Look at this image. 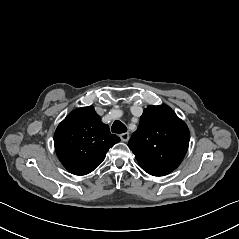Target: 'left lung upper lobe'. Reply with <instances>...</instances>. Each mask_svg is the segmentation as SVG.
Returning a JSON list of instances; mask_svg holds the SVG:
<instances>
[{
    "label": "left lung upper lobe",
    "mask_w": 239,
    "mask_h": 239,
    "mask_svg": "<svg viewBox=\"0 0 239 239\" xmlns=\"http://www.w3.org/2000/svg\"><path fill=\"white\" fill-rule=\"evenodd\" d=\"M190 133L184 121L166 105L148 106L128 146L141 168L153 176H164L182 162Z\"/></svg>",
    "instance_id": "5c2ea615"
}]
</instances>
